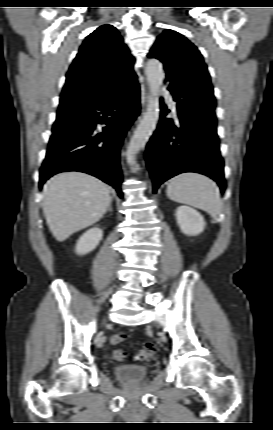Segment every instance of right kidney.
<instances>
[{"mask_svg": "<svg viewBox=\"0 0 273 430\" xmlns=\"http://www.w3.org/2000/svg\"><path fill=\"white\" fill-rule=\"evenodd\" d=\"M103 232L94 227L86 231L77 241L75 251L78 255H84L93 251L101 241Z\"/></svg>", "mask_w": 273, "mask_h": 430, "instance_id": "ca27d5eb", "label": "right kidney"}]
</instances>
